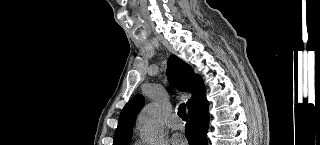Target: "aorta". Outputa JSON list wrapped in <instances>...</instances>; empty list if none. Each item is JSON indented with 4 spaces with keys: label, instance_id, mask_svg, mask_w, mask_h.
I'll return each instance as SVG.
<instances>
[{
    "label": "aorta",
    "instance_id": "aorta-1",
    "mask_svg": "<svg viewBox=\"0 0 320 145\" xmlns=\"http://www.w3.org/2000/svg\"><path fill=\"white\" fill-rule=\"evenodd\" d=\"M140 133L151 144H157L162 137L161 110L157 103L147 105L141 112L138 120Z\"/></svg>",
    "mask_w": 320,
    "mask_h": 145
}]
</instances>
